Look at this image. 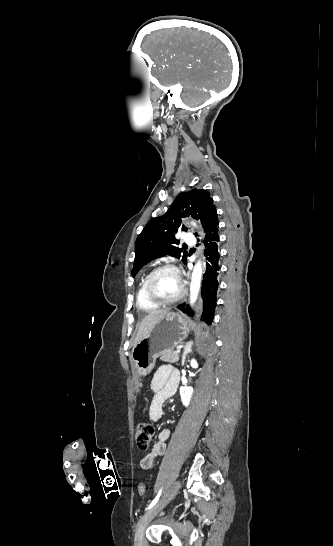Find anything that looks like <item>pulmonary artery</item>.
I'll list each match as a JSON object with an SVG mask.
<instances>
[{
    "label": "pulmonary artery",
    "instance_id": "e3ab8cb5",
    "mask_svg": "<svg viewBox=\"0 0 333 546\" xmlns=\"http://www.w3.org/2000/svg\"><path fill=\"white\" fill-rule=\"evenodd\" d=\"M183 241L187 244H194L195 243V237L192 233H185L183 235Z\"/></svg>",
    "mask_w": 333,
    "mask_h": 546
}]
</instances>
